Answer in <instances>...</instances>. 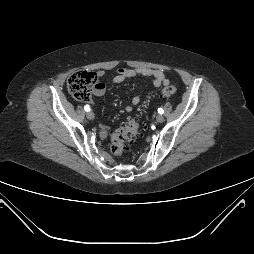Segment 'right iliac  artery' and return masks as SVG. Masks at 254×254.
Wrapping results in <instances>:
<instances>
[{"mask_svg": "<svg viewBox=\"0 0 254 254\" xmlns=\"http://www.w3.org/2000/svg\"><path fill=\"white\" fill-rule=\"evenodd\" d=\"M84 109H85V111H90V107H89V105H86L85 107H84Z\"/></svg>", "mask_w": 254, "mask_h": 254, "instance_id": "right-iliac-artery-1", "label": "right iliac artery"}]
</instances>
